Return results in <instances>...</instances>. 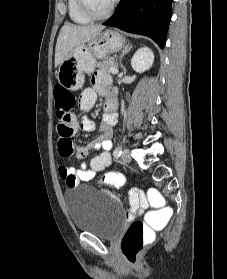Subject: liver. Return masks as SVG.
<instances>
[{
	"label": "liver",
	"mask_w": 227,
	"mask_h": 279,
	"mask_svg": "<svg viewBox=\"0 0 227 279\" xmlns=\"http://www.w3.org/2000/svg\"><path fill=\"white\" fill-rule=\"evenodd\" d=\"M105 27L102 25H73L66 23L60 30L55 48V67H58L66 56L77 45L97 37Z\"/></svg>",
	"instance_id": "liver-1"
}]
</instances>
